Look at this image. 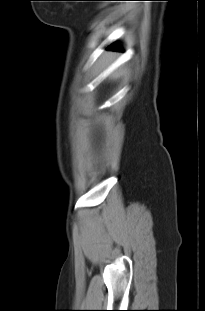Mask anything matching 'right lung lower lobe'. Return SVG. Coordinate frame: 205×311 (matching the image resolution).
I'll use <instances>...</instances> for the list:
<instances>
[{"label": "right lung lower lobe", "mask_w": 205, "mask_h": 311, "mask_svg": "<svg viewBox=\"0 0 205 311\" xmlns=\"http://www.w3.org/2000/svg\"><path fill=\"white\" fill-rule=\"evenodd\" d=\"M107 49L113 50V51H120L121 50L118 46H115V45H110Z\"/></svg>", "instance_id": "98d812e1"}]
</instances>
